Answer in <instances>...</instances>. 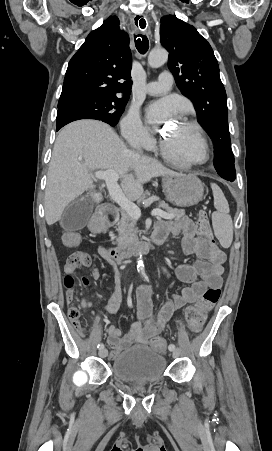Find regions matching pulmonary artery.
<instances>
[{
    "label": "pulmonary artery",
    "instance_id": "1",
    "mask_svg": "<svg viewBox=\"0 0 272 451\" xmlns=\"http://www.w3.org/2000/svg\"><path fill=\"white\" fill-rule=\"evenodd\" d=\"M172 84L173 77L171 75V71L165 68L162 70L157 81L147 84L140 90V92L155 96L164 95L171 89Z\"/></svg>",
    "mask_w": 272,
    "mask_h": 451
}]
</instances>
